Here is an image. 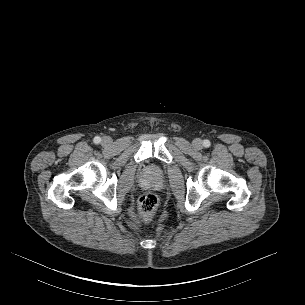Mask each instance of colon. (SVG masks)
Masks as SVG:
<instances>
[{
	"instance_id": "obj_1",
	"label": "colon",
	"mask_w": 305,
	"mask_h": 305,
	"mask_svg": "<svg viewBox=\"0 0 305 305\" xmlns=\"http://www.w3.org/2000/svg\"><path fill=\"white\" fill-rule=\"evenodd\" d=\"M158 205V197L153 192H148L138 201V217L142 222L152 219Z\"/></svg>"
}]
</instances>
